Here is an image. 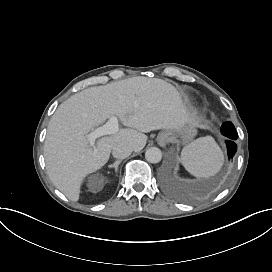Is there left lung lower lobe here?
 Returning a JSON list of instances; mask_svg holds the SVG:
<instances>
[{"label":"left lung lower lobe","mask_w":272,"mask_h":272,"mask_svg":"<svg viewBox=\"0 0 272 272\" xmlns=\"http://www.w3.org/2000/svg\"><path fill=\"white\" fill-rule=\"evenodd\" d=\"M225 137L228 138L227 140V152H228V157L232 158L236 152V144H235V140L237 139V137H232V136H228V135H224Z\"/></svg>","instance_id":"obj_1"}]
</instances>
